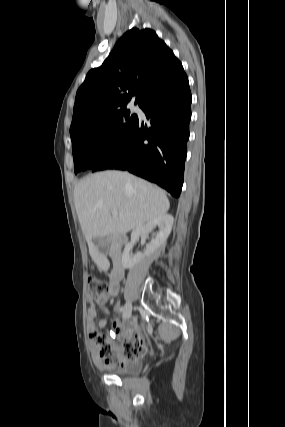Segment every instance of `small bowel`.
I'll return each mask as SVG.
<instances>
[{"label":"small bowel","mask_w":285,"mask_h":427,"mask_svg":"<svg viewBox=\"0 0 285 427\" xmlns=\"http://www.w3.org/2000/svg\"><path fill=\"white\" fill-rule=\"evenodd\" d=\"M119 280L120 279H113L110 278V281L108 283V289L103 294L99 295L96 298L89 297L88 299V313H87V331L90 336H92L93 333L98 332L99 329L105 328L109 325H111L114 328V331L117 335V338L113 341V350L116 354V361H110L103 359L100 354L97 346L94 342L91 343V349L93 353V358L95 364L100 367L104 368L109 365H125L126 362L121 360L122 352L124 346L127 344V340L132 337L133 335H137L140 339V336L137 331V326L134 323H125L120 324V322L117 319H97V310L102 309L105 312H109V310L106 308L107 302L110 300V298L116 296L119 292ZM120 306L116 305L115 310H120Z\"/></svg>","instance_id":"small-bowel-1"}]
</instances>
